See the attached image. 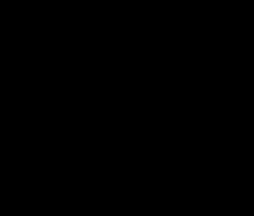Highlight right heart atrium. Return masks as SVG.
<instances>
[{"instance_id":"1","label":"right heart atrium","mask_w":254,"mask_h":216,"mask_svg":"<svg viewBox=\"0 0 254 216\" xmlns=\"http://www.w3.org/2000/svg\"><path fill=\"white\" fill-rule=\"evenodd\" d=\"M106 86L108 87L110 94H111V87H110V83H107Z\"/></svg>"}]
</instances>
